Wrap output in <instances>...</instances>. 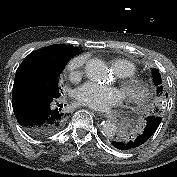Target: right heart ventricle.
<instances>
[{"instance_id": "1", "label": "right heart ventricle", "mask_w": 177, "mask_h": 177, "mask_svg": "<svg viewBox=\"0 0 177 177\" xmlns=\"http://www.w3.org/2000/svg\"><path fill=\"white\" fill-rule=\"evenodd\" d=\"M112 67L115 73L122 78L131 77L137 72L135 64L125 59L114 60Z\"/></svg>"}]
</instances>
